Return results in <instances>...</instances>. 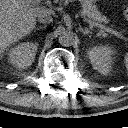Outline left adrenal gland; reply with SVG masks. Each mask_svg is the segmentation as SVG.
<instances>
[{"mask_svg":"<svg viewBox=\"0 0 128 128\" xmlns=\"http://www.w3.org/2000/svg\"><path fill=\"white\" fill-rule=\"evenodd\" d=\"M80 32H82L84 35L92 34V32L88 28H79Z\"/></svg>","mask_w":128,"mask_h":128,"instance_id":"1","label":"left adrenal gland"}]
</instances>
